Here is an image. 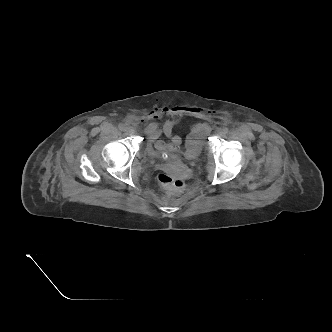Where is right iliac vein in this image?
I'll return each mask as SVG.
<instances>
[{
	"label": "right iliac vein",
	"mask_w": 332,
	"mask_h": 332,
	"mask_svg": "<svg viewBox=\"0 0 332 332\" xmlns=\"http://www.w3.org/2000/svg\"><path fill=\"white\" fill-rule=\"evenodd\" d=\"M125 131L128 133V134H132L133 133V129L131 127H127L125 129Z\"/></svg>",
	"instance_id": "63e3f726"
}]
</instances>
